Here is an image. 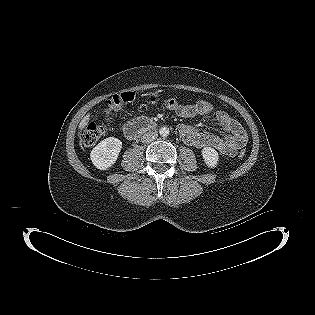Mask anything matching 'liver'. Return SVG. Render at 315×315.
<instances>
[{
	"instance_id": "liver-1",
	"label": "liver",
	"mask_w": 315,
	"mask_h": 315,
	"mask_svg": "<svg viewBox=\"0 0 315 315\" xmlns=\"http://www.w3.org/2000/svg\"><path fill=\"white\" fill-rule=\"evenodd\" d=\"M89 117L90 115L87 114L86 116L83 117V119L81 120L80 124H79V128L83 129L89 122Z\"/></svg>"
}]
</instances>
